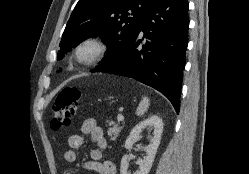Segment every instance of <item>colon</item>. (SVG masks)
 I'll return each instance as SVG.
<instances>
[{
	"mask_svg": "<svg viewBox=\"0 0 249 174\" xmlns=\"http://www.w3.org/2000/svg\"><path fill=\"white\" fill-rule=\"evenodd\" d=\"M80 97L81 92L75 87H65L59 92L51 111L52 129L60 130L70 125Z\"/></svg>",
	"mask_w": 249,
	"mask_h": 174,
	"instance_id": "colon-1",
	"label": "colon"
}]
</instances>
